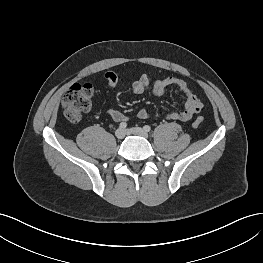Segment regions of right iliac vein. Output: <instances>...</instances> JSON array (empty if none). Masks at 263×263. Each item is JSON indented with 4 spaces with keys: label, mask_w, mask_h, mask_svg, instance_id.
Masks as SVG:
<instances>
[{
    "label": "right iliac vein",
    "mask_w": 263,
    "mask_h": 263,
    "mask_svg": "<svg viewBox=\"0 0 263 263\" xmlns=\"http://www.w3.org/2000/svg\"><path fill=\"white\" fill-rule=\"evenodd\" d=\"M125 135H126V133L123 129L119 128L115 131V136L117 139H123L125 137Z\"/></svg>",
    "instance_id": "1"
}]
</instances>
